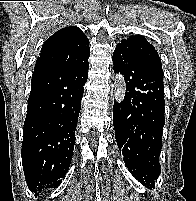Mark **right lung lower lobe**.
I'll list each match as a JSON object with an SVG mask.
<instances>
[{
  "instance_id": "obj_1",
  "label": "right lung lower lobe",
  "mask_w": 196,
  "mask_h": 201,
  "mask_svg": "<svg viewBox=\"0 0 196 201\" xmlns=\"http://www.w3.org/2000/svg\"><path fill=\"white\" fill-rule=\"evenodd\" d=\"M89 63L36 71L24 122L22 164L35 196L58 187L69 169Z\"/></svg>"
}]
</instances>
